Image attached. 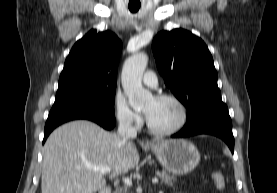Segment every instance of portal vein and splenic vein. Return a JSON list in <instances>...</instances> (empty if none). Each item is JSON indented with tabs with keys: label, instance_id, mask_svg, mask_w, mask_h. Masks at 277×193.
Listing matches in <instances>:
<instances>
[{
	"label": "portal vein and splenic vein",
	"instance_id": "18ae733b",
	"mask_svg": "<svg viewBox=\"0 0 277 193\" xmlns=\"http://www.w3.org/2000/svg\"><path fill=\"white\" fill-rule=\"evenodd\" d=\"M87 168L89 170H93V171H97L99 173H109L111 172V168L108 166H93V165H87ZM123 182L126 186H132V180L130 178H123ZM152 183L153 184H157L158 183V178L154 177L152 179Z\"/></svg>",
	"mask_w": 277,
	"mask_h": 193
}]
</instances>
